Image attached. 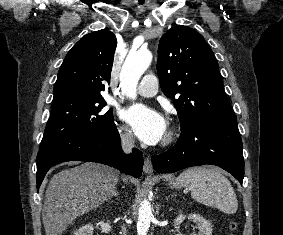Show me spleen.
<instances>
[{
	"label": "spleen",
	"mask_w": 283,
	"mask_h": 235,
	"mask_svg": "<svg viewBox=\"0 0 283 235\" xmlns=\"http://www.w3.org/2000/svg\"><path fill=\"white\" fill-rule=\"evenodd\" d=\"M176 182L188 189L195 201L206 206L217 208L225 214H234L238 209L230 181L215 169L189 168L176 178Z\"/></svg>",
	"instance_id": "spleen-1"
}]
</instances>
